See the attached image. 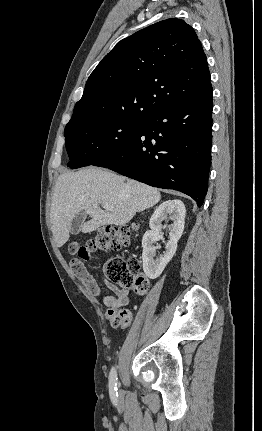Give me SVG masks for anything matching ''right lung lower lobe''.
Masks as SVG:
<instances>
[{
  "mask_svg": "<svg viewBox=\"0 0 262 431\" xmlns=\"http://www.w3.org/2000/svg\"><path fill=\"white\" fill-rule=\"evenodd\" d=\"M212 94L209 84L196 96L145 117L130 140L92 165L181 191L200 207L211 164Z\"/></svg>",
  "mask_w": 262,
  "mask_h": 431,
  "instance_id": "obj_1",
  "label": "right lung lower lobe"
}]
</instances>
